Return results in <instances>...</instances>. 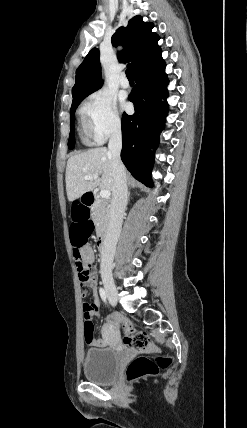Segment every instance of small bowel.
Returning a JSON list of instances; mask_svg holds the SVG:
<instances>
[{
	"label": "small bowel",
	"instance_id": "c3829d8e",
	"mask_svg": "<svg viewBox=\"0 0 247 428\" xmlns=\"http://www.w3.org/2000/svg\"><path fill=\"white\" fill-rule=\"evenodd\" d=\"M83 260L90 267V276L87 282H81V286L89 287L92 290L93 299L91 302L85 303L84 307L89 309L91 317H97L99 315L100 300L97 294V273L94 268V251L90 246H86L81 250ZM108 344L107 339H94L91 344L92 346L103 347Z\"/></svg>",
	"mask_w": 247,
	"mask_h": 428
}]
</instances>
